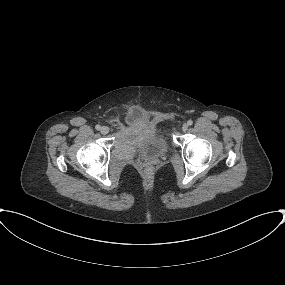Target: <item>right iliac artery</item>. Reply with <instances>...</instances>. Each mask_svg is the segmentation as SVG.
Wrapping results in <instances>:
<instances>
[{"label":"right iliac artery","mask_w":285,"mask_h":285,"mask_svg":"<svg viewBox=\"0 0 285 285\" xmlns=\"http://www.w3.org/2000/svg\"><path fill=\"white\" fill-rule=\"evenodd\" d=\"M100 128H101L100 125H96V126H95V129H96V130H100Z\"/></svg>","instance_id":"obj_1"}]
</instances>
